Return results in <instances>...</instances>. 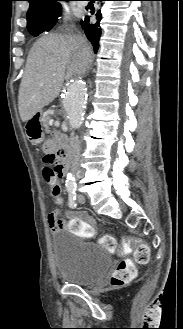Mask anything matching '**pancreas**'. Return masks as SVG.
I'll use <instances>...</instances> for the list:
<instances>
[{"instance_id": "pancreas-1", "label": "pancreas", "mask_w": 183, "mask_h": 329, "mask_svg": "<svg viewBox=\"0 0 183 329\" xmlns=\"http://www.w3.org/2000/svg\"><path fill=\"white\" fill-rule=\"evenodd\" d=\"M49 120H50V117L49 116L44 117L42 119V124H43V127L45 128L46 131H50V128H49Z\"/></svg>"}]
</instances>
